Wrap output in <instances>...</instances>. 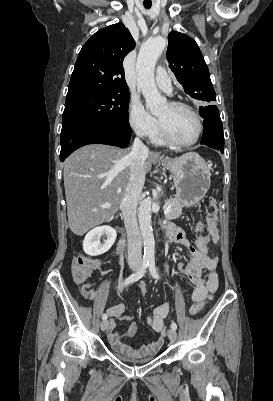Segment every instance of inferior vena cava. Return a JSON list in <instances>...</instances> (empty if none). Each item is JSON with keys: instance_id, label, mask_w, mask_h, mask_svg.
Returning <instances> with one entry per match:
<instances>
[{"instance_id": "obj_1", "label": "inferior vena cava", "mask_w": 273, "mask_h": 401, "mask_svg": "<svg viewBox=\"0 0 273 401\" xmlns=\"http://www.w3.org/2000/svg\"><path fill=\"white\" fill-rule=\"evenodd\" d=\"M148 152L149 148L143 144L142 140L135 138L131 152L125 156L130 166V176L121 207L127 231L129 261H141L142 259V239L137 223V205L140 201V194L145 180L143 164Z\"/></svg>"}]
</instances>
